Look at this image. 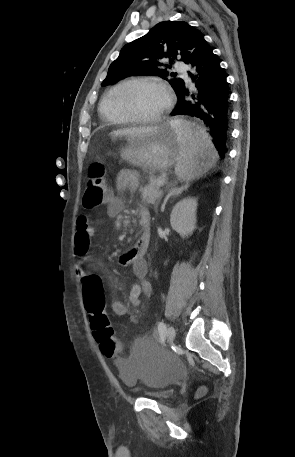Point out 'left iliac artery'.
<instances>
[{
  "label": "left iliac artery",
  "mask_w": 295,
  "mask_h": 457,
  "mask_svg": "<svg viewBox=\"0 0 295 457\" xmlns=\"http://www.w3.org/2000/svg\"><path fill=\"white\" fill-rule=\"evenodd\" d=\"M158 332L160 335L161 342H164L165 340V335H166V325L163 321H160L158 323Z\"/></svg>",
  "instance_id": "obj_1"
}]
</instances>
